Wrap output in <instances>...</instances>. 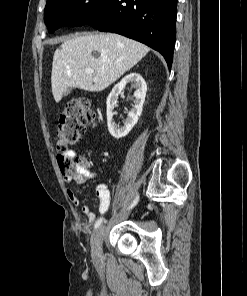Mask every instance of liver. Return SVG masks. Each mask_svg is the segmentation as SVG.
Segmentation results:
<instances>
[{
    "instance_id": "1",
    "label": "liver",
    "mask_w": 247,
    "mask_h": 296,
    "mask_svg": "<svg viewBox=\"0 0 247 296\" xmlns=\"http://www.w3.org/2000/svg\"><path fill=\"white\" fill-rule=\"evenodd\" d=\"M149 47L115 33L83 34L67 38L53 56L51 86L59 103L66 90L100 92L131 69ZM96 51L99 56L92 53ZM92 68L93 73L86 69Z\"/></svg>"
}]
</instances>
